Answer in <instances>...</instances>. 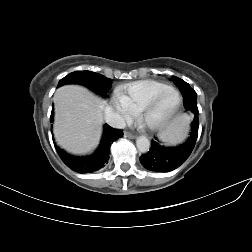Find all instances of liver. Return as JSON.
<instances>
[{
	"instance_id": "6515ba94",
	"label": "liver",
	"mask_w": 252,
	"mask_h": 252,
	"mask_svg": "<svg viewBox=\"0 0 252 252\" xmlns=\"http://www.w3.org/2000/svg\"><path fill=\"white\" fill-rule=\"evenodd\" d=\"M104 101L79 85L60 87L54 96V135L73 154H86L98 144Z\"/></svg>"
}]
</instances>
